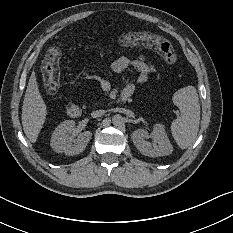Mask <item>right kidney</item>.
Returning a JSON list of instances; mask_svg holds the SVG:
<instances>
[{"label":"right kidney","mask_w":233,"mask_h":233,"mask_svg":"<svg viewBox=\"0 0 233 233\" xmlns=\"http://www.w3.org/2000/svg\"><path fill=\"white\" fill-rule=\"evenodd\" d=\"M75 121L66 120L62 122L53 132L51 137V147L57 153H65L73 156L83 152L92 137L90 131L82 132L78 135L74 144L67 142L69 134L74 130Z\"/></svg>","instance_id":"obj_1"}]
</instances>
